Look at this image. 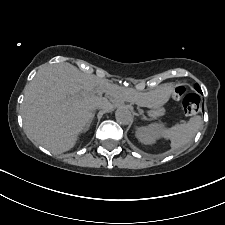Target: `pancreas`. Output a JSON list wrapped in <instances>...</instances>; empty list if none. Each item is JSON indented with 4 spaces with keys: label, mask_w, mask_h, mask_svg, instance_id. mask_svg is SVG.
<instances>
[{
    "label": "pancreas",
    "mask_w": 225,
    "mask_h": 225,
    "mask_svg": "<svg viewBox=\"0 0 225 225\" xmlns=\"http://www.w3.org/2000/svg\"><path fill=\"white\" fill-rule=\"evenodd\" d=\"M165 112L164 108L154 109L150 111V116L156 118L158 116L163 115Z\"/></svg>",
    "instance_id": "1"
}]
</instances>
